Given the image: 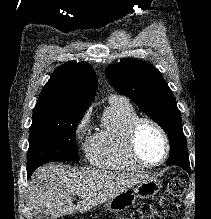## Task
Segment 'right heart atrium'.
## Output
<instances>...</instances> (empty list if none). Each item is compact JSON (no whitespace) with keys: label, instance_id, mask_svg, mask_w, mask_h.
Here are the masks:
<instances>
[{"label":"right heart atrium","instance_id":"obj_1","mask_svg":"<svg viewBox=\"0 0 211 219\" xmlns=\"http://www.w3.org/2000/svg\"><path fill=\"white\" fill-rule=\"evenodd\" d=\"M88 126V117L83 116L74 128V135L76 139H80L86 132Z\"/></svg>","mask_w":211,"mask_h":219}]
</instances>
